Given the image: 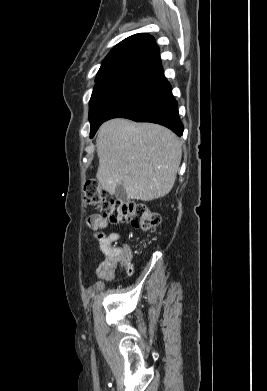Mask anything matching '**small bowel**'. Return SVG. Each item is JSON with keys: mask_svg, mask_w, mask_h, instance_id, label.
<instances>
[{"mask_svg": "<svg viewBox=\"0 0 267 391\" xmlns=\"http://www.w3.org/2000/svg\"><path fill=\"white\" fill-rule=\"evenodd\" d=\"M87 224L93 231L103 230L109 227L108 221L98 214L90 215ZM119 239V233L111 232L99 242V247L104 255V260L98 265L96 273L101 279H114L116 277V269L120 257L124 254H129V247L127 245L122 247L114 246V243Z\"/></svg>", "mask_w": 267, "mask_h": 391, "instance_id": "obj_1", "label": "small bowel"}]
</instances>
